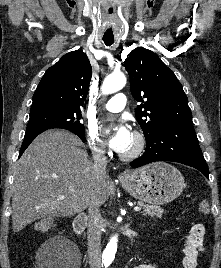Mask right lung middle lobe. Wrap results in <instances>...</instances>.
<instances>
[{
	"mask_svg": "<svg viewBox=\"0 0 221 268\" xmlns=\"http://www.w3.org/2000/svg\"><path fill=\"white\" fill-rule=\"evenodd\" d=\"M81 111L52 110L30 113L27 130L36 128H62L85 134L84 125L80 122Z\"/></svg>",
	"mask_w": 221,
	"mask_h": 268,
	"instance_id": "obj_1",
	"label": "right lung middle lobe"
}]
</instances>
